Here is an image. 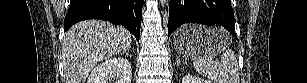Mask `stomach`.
Here are the masks:
<instances>
[{"mask_svg":"<svg viewBox=\"0 0 307 83\" xmlns=\"http://www.w3.org/2000/svg\"><path fill=\"white\" fill-rule=\"evenodd\" d=\"M173 42L179 54L195 59L217 55L232 43V38L224 29L188 24L177 30Z\"/></svg>","mask_w":307,"mask_h":83,"instance_id":"0dacf381","label":"stomach"}]
</instances>
